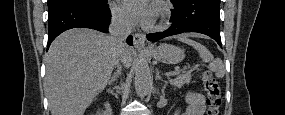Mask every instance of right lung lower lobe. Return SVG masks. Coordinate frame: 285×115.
<instances>
[{"instance_id":"obj_1","label":"right lung lower lobe","mask_w":285,"mask_h":115,"mask_svg":"<svg viewBox=\"0 0 285 115\" xmlns=\"http://www.w3.org/2000/svg\"><path fill=\"white\" fill-rule=\"evenodd\" d=\"M48 44L62 32L71 28H91L108 32L111 21L110 10L106 6H90L83 3L69 2L48 10ZM133 38L129 36L127 43L132 45Z\"/></svg>"}]
</instances>
